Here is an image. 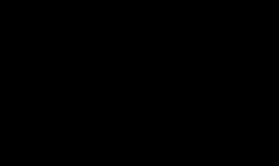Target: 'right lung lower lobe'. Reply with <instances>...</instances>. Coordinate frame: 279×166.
<instances>
[{
  "label": "right lung lower lobe",
  "instance_id": "obj_1",
  "mask_svg": "<svg viewBox=\"0 0 279 166\" xmlns=\"http://www.w3.org/2000/svg\"><path fill=\"white\" fill-rule=\"evenodd\" d=\"M141 24L130 33L117 23L88 20L46 47L39 77L43 104L70 136L95 142L115 131L128 99L145 81L142 56L166 37L161 26Z\"/></svg>",
  "mask_w": 279,
  "mask_h": 166
}]
</instances>
